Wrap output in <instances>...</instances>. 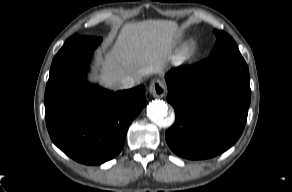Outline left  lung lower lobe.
<instances>
[{"label":"left lung lower lobe","mask_w":292,"mask_h":192,"mask_svg":"<svg viewBox=\"0 0 292 192\" xmlns=\"http://www.w3.org/2000/svg\"><path fill=\"white\" fill-rule=\"evenodd\" d=\"M176 120L166 131L170 149L187 159H207L231 147L243 132L250 79L241 55L221 54L165 75Z\"/></svg>","instance_id":"1"}]
</instances>
